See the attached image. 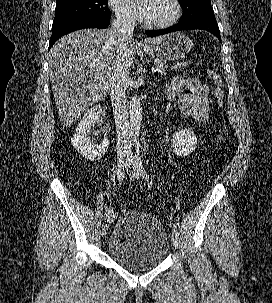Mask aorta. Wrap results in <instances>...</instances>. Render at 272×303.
Masks as SVG:
<instances>
[{
	"label": "aorta",
	"mask_w": 272,
	"mask_h": 303,
	"mask_svg": "<svg viewBox=\"0 0 272 303\" xmlns=\"http://www.w3.org/2000/svg\"><path fill=\"white\" fill-rule=\"evenodd\" d=\"M130 134L134 143H137V138L142 124V105L141 99L135 95L130 101Z\"/></svg>",
	"instance_id": "obj_1"
}]
</instances>
